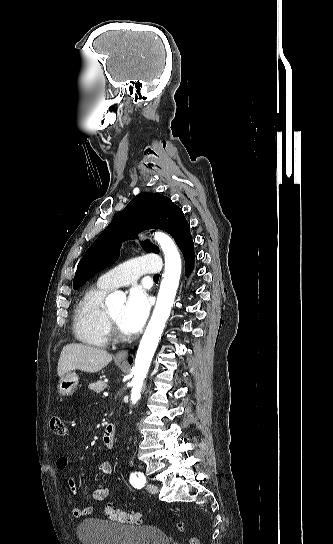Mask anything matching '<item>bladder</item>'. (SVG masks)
I'll return each instance as SVG.
<instances>
[{
  "label": "bladder",
  "mask_w": 333,
  "mask_h": 544,
  "mask_svg": "<svg viewBox=\"0 0 333 544\" xmlns=\"http://www.w3.org/2000/svg\"><path fill=\"white\" fill-rule=\"evenodd\" d=\"M76 534L81 544H170L167 534L157 527L129 526L96 518L81 521Z\"/></svg>",
  "instance_id": "31cf9c89"
}]
</instances>
